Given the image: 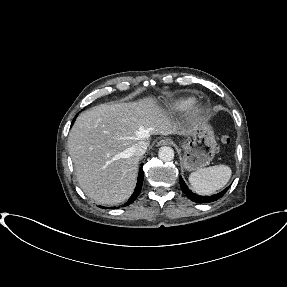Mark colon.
Here are the masks:
<instances>
[{"label": "colon", "mask_w": 287, "mask_h": 287, "mask_svg": "<svg viewBox=\"0 0 287 287\" xmlns=\"http://www.w3.org/2000/svg\"><path fill=\"white\" fill-rule=\"evenodd\" d=\"M222 142H223L224 144L230 143V137L227 136V135H224V136L222 137Z\"/></svg>", "instance_id": "obj_1"}]
</instances>
